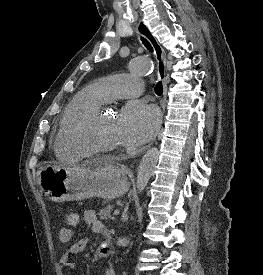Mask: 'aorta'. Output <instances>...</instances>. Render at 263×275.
I'll return each mask as SVG.
<instances>
[{"mask_svg": "<svg viewBox=\"0 0 263 275\" xmlns=\"http://www.w3.org/2000/svg\"><path fill=\"white\" fill-rule=\"evenodd\" d=\"M129 68L133 73L146 74L154 69L152 62L145 58H136L129 63ZM159 158V150L156 147L149 149L143 156L137 171L136 186L138 193H141L153 175Z\"/></svg>", "mask_w": 263, "mask_h": 275, "instance_id": "762f6f07", "label": "aorta"}]
</instances>
